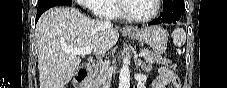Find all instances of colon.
Returning <instances> with one entry per match:
<instances>
[{
  "instance_id": "1",
  "label": "colon",
  "mask_w": 227,
  "mask_h": 88,
  "mask_svg": "<svg viewBox=\"0 0 227 88\" xmlns=\"http://www.w3.org/2000/svg\"><path fill=\"white\" fill-rule=\"evenodd\" d=\"M173 86H174L175 88H179V87H180V83H175Z\"/></svg>"
}]
</instances>
